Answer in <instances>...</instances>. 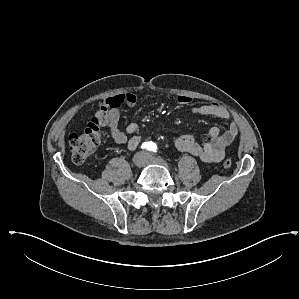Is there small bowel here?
I'll list each match as a JSON object with an SVG mask.
<instances>
[{
    "instance_id": "obj_1",
    "label": "small bowel",
    "mask_w": 299,
    "mask_h": 299,
    "mask_svg": "<svg viewBox=\"0 0 299 299\" xmlns=\"http://www.w3.org/2000/svg\"><path fill=\"white\" fill-rule=\"evenodd\" d=\"M138 97L134 93H120L100 101L95 117L103 126L108 127L113 140L118 144H126L128 150L134 151L141 142L139 126L131 123L126 126L125 132L119 129L121 106L133 107ZM192 99L188 96H178L176 103L182 106L190 105ZM190 113L196 116H214L224 121H230L229 112L217 103L193 106ZM238 135V127L230 122L227 129L221 132L216 126L208 131V140L199 144L190 134L176 135L172 143L176 149L188 152L204 162H220L225 157V149ZM130 136V137H128Z\"/></svg>"
}]
</instances>
